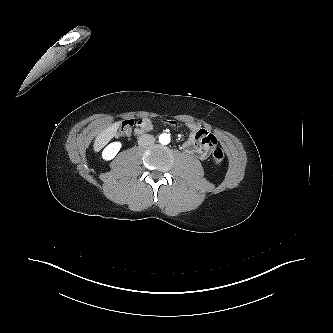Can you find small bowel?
<instances>
[{
  "mask_svg": "<svg viewBox=\"0 0 333 333\" xmlns=\"http://www.w3.org/2000/svg\"><path fill=\"white\" fill-rule=\"evenodd\" d=\"M172 125H177L176 122H170ZM191 129V136L183 143V149L195 156L200 160H205L209 157L211 148L217 145V138L210 132L200 129L195 125H189ZM152 128L149 119H141L137 123L136 133L138 135L145 134Z\"/></svg>",
  "mask_w": 333,
  "mask_h": 333,
  "instance_id": "1",
  "label": "small bowel"
}]
</instances>
